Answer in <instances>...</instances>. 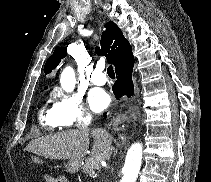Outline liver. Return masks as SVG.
<instances>
[{
    "label": "liver",
    "instance_id": "6515ba94",
    "mask_svg": "<svg viewBox=\"0 0 211 182\" xmlns=\"http://www.w3.org/2000/svg\"><path fill=\"white\" fill-rule=\"evenodd\" d=\"M89 135L94 140L92 155L104 151L112 143V136L106 130L94 129L90 132L85 128L34 139L26 150L49 159L81 160L89 152Z\"/></svg>",
    "mask_w": 211,
    "mask_h": 182
}]
</instances>
